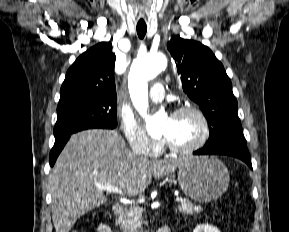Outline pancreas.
I'll return each mask as SVG.
<instances>
[{
  "mask_svg": "<svg viewBox=\"0 0 289 232\" xmlns=\"http://www.w3.org/2000/svg\"><path fill=\"white\" fill-rule=\"evenodd\" d=\"M178 210L187 215L200 213L201 207L192 203H182L178 206ZM142 212L143 209L138 206H131L126 209L121 218V229L123 232H139L142 229Z\"/></svg>",
  "mask_w": 289,
  "mask_h": 232,
  "instance_id": "pancreas-1",
  "label": "pancreas"
}]
</instances>
